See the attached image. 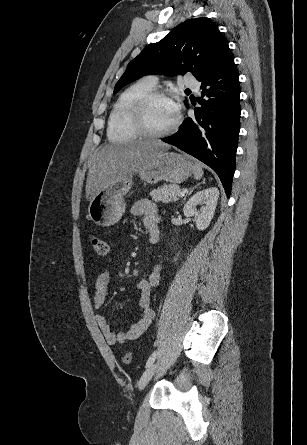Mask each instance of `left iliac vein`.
I'll return each mask as SVG.
<instances>
[{"mask_svg":"<svg viewBox=\"0 0 307 445\" xmlns=\"http://www.w3.org/2000/svg\"><path fill=\"white\" fill-rule=\"evenodd\" d=\"M157 367L156 363H152L142 374L140 381H139V389L145 388V386L149 383L151 380L155 369Z\"/></svg>","mask_w":307,"mask_h":445,"instance_id":"left-iliac-vein-1","label":"left iliac vein"}]
</instances>
